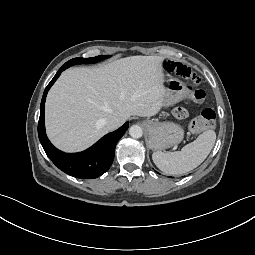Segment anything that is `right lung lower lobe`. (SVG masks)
<instances>
[{"mask_svg":"<svg viewBox=\"0 0 255 255\" xmlns=\"http://www.w3.org/2000/svg\"><path fill=\"white\" fill-rule=\"evenodd\" d=\"M71 65L65 63L46 87L40 106L38 122V136L44 151L50 160L60 170L68 175L82 179H94L104 174L111 166L114 159L115 147L119 139L128 129V122L116 131L102 137L89 149L80 153H64L56 149L48 140L45 133L44 109L45 100L50 87L54 84L61 72Z\"/></svg>","mask_w":255,"mask_h":255,"instance_id":"obj_1","label":"right lung lower lobe"}]
</instances>
